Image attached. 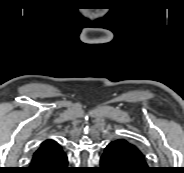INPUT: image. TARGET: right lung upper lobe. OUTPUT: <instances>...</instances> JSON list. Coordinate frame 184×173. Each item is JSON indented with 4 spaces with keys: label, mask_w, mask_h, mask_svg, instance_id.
Returning <instances> with one entry per match:
<instances>
[{
    "label": "right lung upper lobe",
    "mask_w": 184,
    "mask_h": 173,
    "mask_svg": "<svg viewBox=\"0 0 184 173\" xmlns=\"http://www.w3.org/2000/svg\"><path fill=\"white\" fill-rule=\"evenodd\" d=\"M58 146H60L56 141L54 140H45L40 147L36 150V152L34 154H41V153H45L48 151H51L55 148H57Z\"/></svg>",
    "instance_id": "right-lung-upper-lobe-1"
}]
</instances>
